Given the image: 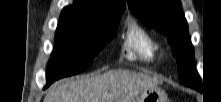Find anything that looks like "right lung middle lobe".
Instances as JSON below:
<instances>
[{"label": "right lung middle lobe", "mask_w": 221, "mask_h": 102, "mask_svg": "<svg viewBox=\"0 0 221 102\" xmlns=\"http://www.w3.org/2000/svg\"><path fill=\"white\" fill-rule=\"evenodd\" d=\"M120 20L121 14L112 18L60 17L45 87L88 68L99 51L115 37Z\"/></svg>", "instance_id": "right-lung-middle-lobe-1"}]
</instances>
